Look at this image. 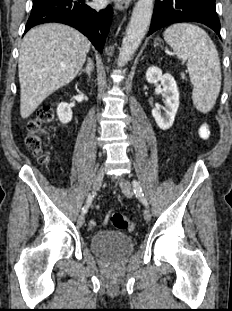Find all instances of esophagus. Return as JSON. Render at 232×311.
Masks as SVG:
<instances>
[{"label": "esophagus", "instance_id": "obj_1", "mask_svg": "<svg viewBox=\"0 0 232 311\" xmlns=\"http://www.w3.org/2000/svg\"><path fill=\"white\" fill-rule=\"evenodd\" d=\"M131 3V0H115V8L117 10H124L126 9Z\"/></svg>", "mask_w": 232, "mask_h": 311}]
</instances>
